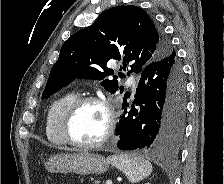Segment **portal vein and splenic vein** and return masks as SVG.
Listing matches in <instances>:
<instances>
[{
  "instance_id": "18ae733b",
  "label": "portal vein and splenic vein",
  "mask_w": 224,
  "mask_h": 184,
  "mask_svg": "<svg viewBox=\"0 0 224 184\" xmlns=\"http://www.w3.org/2000/svg\"><path fill=\"white\" fill-rule=\"evenodd\" d=\"M106 184H112V181L111 180H107Z\"/></svg>"
}]
</instances>
